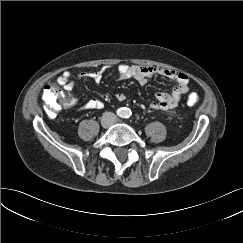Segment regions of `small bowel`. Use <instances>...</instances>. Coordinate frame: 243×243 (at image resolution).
Instances as JSON below:
<instances>
[{
	"label": "small bowel",
	"mask_w": 243,
	"mask_h": 243,
	"mask_svg": "<svg viewBox=\"0 0 243 243\" xmlns=\"http://www.w3.org/2000/svg\"><path fill=\"white\" fill-rule=\"evenodd\" d=\"M118 80L134 79L138 83L144 85L148 80L154 76H163L176 83V86L170 93L158 92L156 93L155 100L151 102L150 107L153 110H170L175 108L183 95L189 91V77L179 71L163 69L154 66H138L119 64L116 68ZM77 79L89 78L95 83H100L103 78V71L97 70L93 72H83L77 75ZM57 84L62 86L66 91H72L75 85L74 79L69 72H64L57 79ZM118 101L125 100L124 94H117ZM78 99L72 97L70 99V106L76 105ZM104 107L103 101L99 99H91L87 101L82 107V110H99Z\"/></svg>",
	"instance_id": "obj_1"
}]
</instances>
